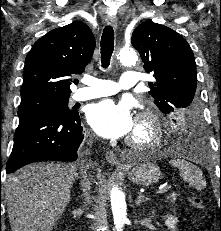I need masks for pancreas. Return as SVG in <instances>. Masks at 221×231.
Instances as JSON below:
<instances>
[{"label": "pancreas", "mask_w": 221, "mask_h": 231, "mask_svg": "<svg viewBox=\"0 0 221 231\" xmlns=\"http://www.w3.org/2000/svg\"><path fill=\"white\" fill-rule=\"evenodd\" d=\"M166 199H167L169 202L174 203L175 200H176V194H175V193H172V194L168 195V196L166 197Z\"/></svg>", "instance_id": "obj_1"}]
</instances>
